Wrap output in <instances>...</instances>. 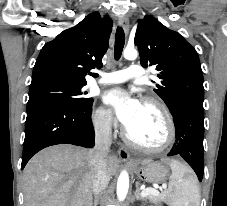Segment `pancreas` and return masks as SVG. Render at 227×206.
Segmentation results:
<instances>
[{"label": "pancreas", "mask_w": 227, "mask_h": 206, "mask_svg": "<svg viewBox=\"0 0 227 206\" xmlns=\"http://www.w3.org/2000/svg\"><path fill=\"white\" fill-rule=\"evenodd\" d=\"M146 198L154 203H160L163 200V198L160 195L153 194L147 195Z\"/></svg>", "instance_id": "cf45deb5"}]
</instances>
